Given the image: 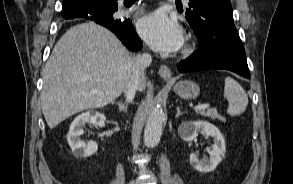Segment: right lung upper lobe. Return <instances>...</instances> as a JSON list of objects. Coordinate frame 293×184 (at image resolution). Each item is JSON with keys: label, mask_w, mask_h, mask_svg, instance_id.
<instances>
[{"label": "right lung upper lobe", "mask_w": 293, "mask_h": 184, "mask_svg": "<svg viewBox=\"0 0 293 184\" xmlns=\"http://www.w3.org/2000/svg\"><path fill=\"white\" fill-rule=\"evenodd\" d=\"M81 1L83 0H63L62 17L65 19H69L80 13H85L95 8L112 10L117 8V0H95V2L99 3V5L92 8L82 7L80 5Z\"/></svg>", "instance_id": "cb5924a9"}]
</instances>
